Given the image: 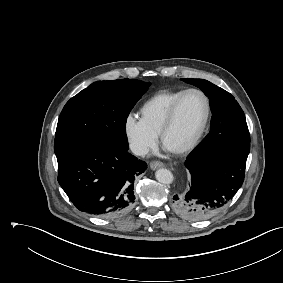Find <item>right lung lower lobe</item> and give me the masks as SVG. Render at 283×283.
Instances as JSON below:
<instances>
[{"instance_id": "obj_1", "label": "right lung lower lobe", "mask_w": 283, "mask_h": 283, "mask_svg": "<svg viewBox=\"0 0 283 283\" xmlns=\"http://www.w3.org/2000/svg\"><path fill=\"white\" fill-rule=\"evenodd\" d=\"M127 150L97 141L57 157L58 182L80 211L113 217L131 209L135 201L134 179L147 164Z\"/></svg>"}]
</instances>
